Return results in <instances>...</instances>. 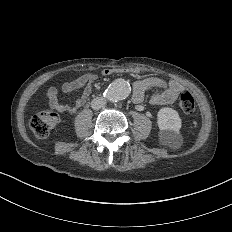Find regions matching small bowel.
Returning a JSON list of instances; mask_svg holds the SVG:
<instances>
[{
	"label": "small bowel",
	"mask_w": 232,
	"mask_h": 232,
	"mask_svg": "<svg viewBox=\"0 0 232 232\" xmlns=\"http://www.w3.org/2000/svg\"><path fill=\"white\" fill-rule=\"evenodd\" d=\"M138 71L133 68H111L103 71L104 76H116V75H134ZM95 80L94 74H87L81 79L64 83L62 90L64 93H70L76 89L82 88V95L74 103L62 102L57 97V89L55 87L48 88V94L52 100L53 106L59 111L75 112L83 107L86 100L89 98L92 92V83ZM164 81L158 77H149L139 80L134 83V93L131 100L134 103H140L143 101L144 93L147 88H162ZM184 90V85L179 81H172L166 89L160 90L153 94L151 97V103L158 104L164 102H172L176 99L177 95Z\"/></svg>",
	"instance_id": "1"
}]
</instances>
